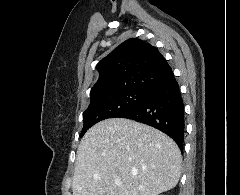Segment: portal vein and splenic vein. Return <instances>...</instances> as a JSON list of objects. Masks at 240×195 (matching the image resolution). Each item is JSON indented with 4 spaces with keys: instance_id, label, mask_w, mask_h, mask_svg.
<instances>
[{
    "instance_id": "portal-vein-and-splenic-vein-1",
    "label": "portal vein and splenic vein",
    "mask_w": 240,
    "mask_h": 195,
    "mask_svg": "<svg viewBox=\"0 0 240 195\" xmlns=\"http://www.w3.org/2000/svg\"><path fill=\"white\" fill-rule=\"evenodd\" d=\"M117 185H122L121 181H116Z\"/></svg>"
}]
</instances>
